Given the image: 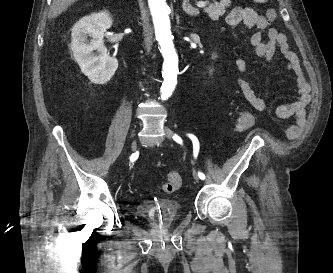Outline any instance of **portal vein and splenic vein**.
<instances>
[{"instance_id": "18ae733b", "label": "portal vein and splenic vein", "mask_w": 333, "mask_h": 273, "mask_svg": "<svg viewBox=\"0 0 333 273\" xmlns=\"http://www.w3.org/2000/svg\"><path fill=\"white\" fill-rule=\"evenodd\" d=\"M206 5H207V3L203 2V1H200V2L197 3V6L200 7V8L205 7Z\"/></svg>"}]
</instances>
